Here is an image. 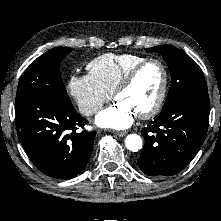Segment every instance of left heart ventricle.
<instances>
[{"instance_id": "left-heart-ventricle-1", "label": "left heart ventricle", "mask_w": 221, "mask_h": 221, "mask_svg": "<svg viewBox=\"0 0 221 221\" xmlns=\"http://www.w3.org/2000/svg\"><path fill=\"white\" fill-rule=\"evenodd\" d=\"M163 74L159 65L152 63L144 67L133 83L117 97V101L126 103L136 115L148 110L156 101Z\"/></svg>"}]
</instances>
